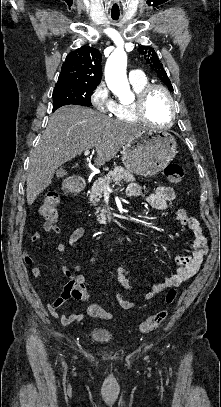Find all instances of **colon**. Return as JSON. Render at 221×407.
<instances>
[{
    "label": "colon",
    "mask_w": 221,
    "mask_h": 407,
    "mask_svg": "<svg viewBox=\"0 0 221 407\" xmlns=\"http://www.w3.org/2000/svg\"><path fill=\"white\" fill-rule=\"evenodd\" d=\"M184 171L181 164L177 162H170L164 168L165 178L174 184L180 183L183 179ZM58 205L59 194L55 191H47L44 194L43 203L41 206V215L44 219V229L47 232L56 233L59 229L58 226ZM69 290L73 296L80 301L88 302L89 296L85 289V285L81 282H74L69 286ZM176 299V290L169 289L165 294V303L167 305L173 304ZM88 314L93 317L101 319H110L111 314L99 305L91 303L88 306ZM168 317V310L162 309L155 314L149 316L144 322H142L138 331L140 333L148 334L158 328Z\"/></svg>",
    "instance_id": "obj_1"
}]
</instances>
